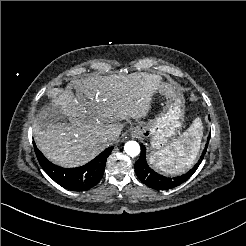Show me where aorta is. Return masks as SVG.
<instances>
[{
    "label": "aorta",
    "instance_id": "1",
    "mask_svg": "<svg viewBox=\"0 0 246 246\" xmlns=\"http://www.w3.org/2000/svg\"><path fill=\"white\" fill-rule=\"evenodd\" d=\"M124 150L127 153V155L135 157L138 156L140 153V146L136 141H128L124 145Z\"/></svg>",
    "mask_w": 246,
    "mask_h": 246
}]
</instances>
